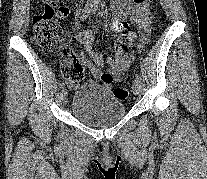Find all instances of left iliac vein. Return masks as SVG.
Listing matches in <instances>:
<instances>
[{"label":"left iliac vein","instance_id":"4c4485c4","mask_svg":"<svg viewBox=\"0 0 207 179\" xmlns=\"http://www.w3.org/2000/svg\"><path fill=\"white\" fill-rule=\"evenodd\" d=\"M132 91L135 95H138L140 92V82L136 79L132 83Z\"/></svg>","mask_w":207,"mask_h":179}]
</instances>
